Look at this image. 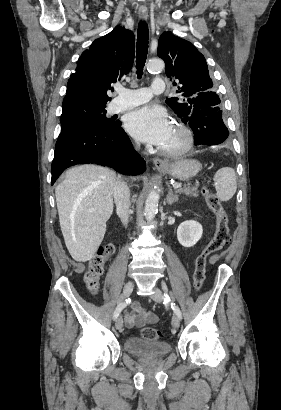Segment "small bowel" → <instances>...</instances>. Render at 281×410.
Wrapping results in <instances>:
<instances>
[{
    "mask_svg": "<svg viewBox=\"0 0 281 410\" xmlns=\"http://www.w3.org/2000/svg\"><path fill=\"white\" fill-rule=\"evenodd\" d=\"M125 322L129 327H141L145 324L157 323L158 316L140 304H134L132 311L125 314Z\"/></svg>",
    "mask_w": 281,
    "mask_h": 410,
    "instance_id": "obj_1",
    "label": "small bowel"
}]
</instances>
